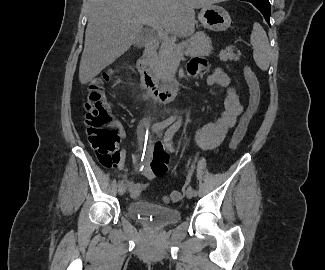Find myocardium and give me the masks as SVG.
I'll return each instance as SVG.
<instances>
[{"label":"myocardium","mask_w":325,"mask_h":270,"mask_svg":"<svg viewBox=\"0 0 325 270\" xmlns=\"http://www.w3.org/2000/svg\"><path fill=\"white\" fill-rule=\"evenodd\" d=\"M211 1L220 2V1H225V0H211Z\"/></svg>","instance_id":"obj_1"}]
</instances>
